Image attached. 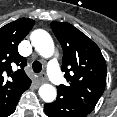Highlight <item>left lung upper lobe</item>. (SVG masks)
Wrapping results in <instances>:
<instances>
[{
  "mask_svg": "<svg viewBox=\"0 0 117 117\" xmlns=\"http://www.w3.org/2000/svg\"><path fill=\"white\" fill-rule=\"evenodd\" d=\"M51 27L63 49L62 71L69 82L58 92L92 112L106 86L105 59L99 47L71 24L52 22Z\"/></svg>",
  "mask_w": 117,
  "mask_h": 117,
  "instance_id": "left-lung-upper-lobe-1",
  "label": "left lung upper lobe"
}]
</instances>
